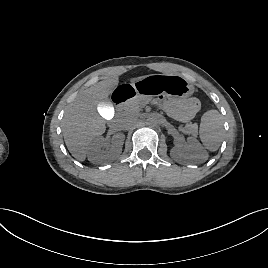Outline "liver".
I'll return each mask as SVG.
<instances>
[{
	"label": "liver",
	"mask_w": 268,
	"mask_h": 268,
	"mask_svg": "<svg viewBox=\"0 0 268 268\" xmlns=\"http://www.w3.org/2000/svg\"><path fill=\"white\" fill-rule=\"evenodd\" d=\"M138 78L132 79V82ZM118 83V76H111L83 90L66 112L63 121L64 141L77 160L84 161L90 142L105 132V120L97 112V107H106L105 101Z\"/></svg>",
	"instance_id": "6515ba94"
}]
</instances>
